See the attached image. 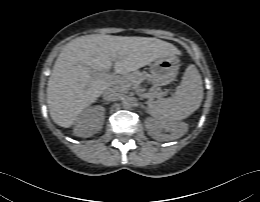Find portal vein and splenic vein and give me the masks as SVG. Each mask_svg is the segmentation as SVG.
I'll list each match as a JSON object with an SVG mask.
<instances>
[{
	"mask_svg": "<svg viewBox=\"0 0 260 202\" xmlns=\"http://www.w3.org/2000/svg\"><path fill=\"white\" fill-rule=\"evenodd\" d=\"M92 75L96 78H104L107 80H112V81H117L118 78L114 75H111L109 73H105V72H97V71H92ZM157 96H161V94H158ZM144 98H150L149 94H143Z\"/></svg>",
	"mask_w": 260,
	"mask_h": 202,
	"instance_id": "1",
	"label": "portal vein and splenic vein"
}]
</instances>
